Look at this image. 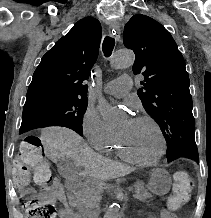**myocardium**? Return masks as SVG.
Wrapping results in <instances>:
<instances>
[{
  "label": "myocardium",
  "mask_w": 211,
  "mask_h": 218,
  "mask_svg": "<svg viewBox=\"0 0 211 218\" xmlns=\"http://www.w3.org/2000/svg\"><path fill=\"white\" fill-rule=\"evenodd\" d=\"M135 119L147 120L156 129V131H157V133L159 135V138H160V150H159L158 154L152 159L139 158L136 155H134L133 153H131L128 150V148L126 147L123 140L118 135H116V143L118 145V148L120 149V151L123 153V155L126 158H128L129 160H131L132 162H134L136 164L143 165V166L154 165V164H156L157 162L160 161V159L163 157L164 152H165V136H164V132H163L161 126L159 125V123L153 117H151L149 115H139Z\"/></svg>",
  "instance_id": "1"
}]
</instances>
